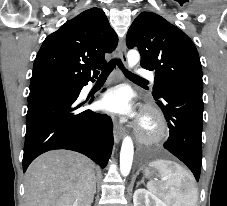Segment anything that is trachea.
<instances>
[{
	"label": "trachea",
	"instance_id": "obj_1",
	"mask_svg": "<svg viewBox=\"0 0 227 206\" xmlns=\"http://www.w3.org/2000/svg\"><path fill=\"white\" fill-rule=\"evenodd\" d=\"M115 65H118L127 77H129L133 80L145 81V79L137 76L136 74L131 73L128 70H126L125 67L123 66L121 60H119V59H113L105 65L97 66L96 68H98L102 71L99 78L108 77L109 74L111 73V71L114 69Z\"/></svg>",
	"mask_w": 227,
	"mask_h": 206
}]
</instances>
